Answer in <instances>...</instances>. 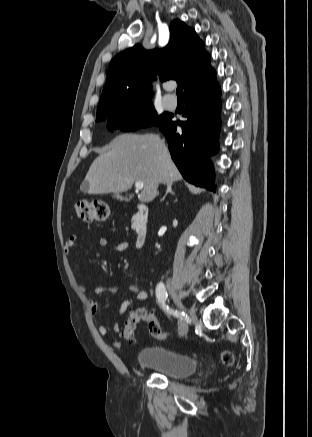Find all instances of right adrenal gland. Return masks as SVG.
<instances>
[{
	"instance_id": "right-adrenal-gland-1",
	"label": "right adrenal gland",
	"mask_w": 312,
	"mask_h": 437,
	"mask_svg": "<svg viewBox=\"0 0 312 437\" xmlns=\"http://www.w3.org/2000/svg\"><path fill=\"white\" fill-rule=\"evenodd\" d=\"M168 193L174 195L171 184L167 185V191H166L165 195L163 196V198L161 199V201H163L165 199V197L167 196Z\"/></svg>"
}]
</instances>
